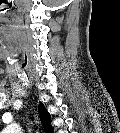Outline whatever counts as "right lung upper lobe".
Returning a JSON list of instances; mask_svg holds the SVG:
<instances>
[{"label": "right lung upper lobe", "mask_w": 120, "mask_h": 133, "mask_svg": "<svg viewBox=\"0 0 120 133\" xmlns=\"http://www.w3.org/2000/svg\"><path fill=\"white\" fill-rule=\"evenodd\" d=\"M39 117H40L42 126L45 129V132L50 133L53 130L52 125H51V116L48 113V111L44 108L43 105L39 109Z\"/></svg>", "instance_id": "cb5924a9"}]
</instances>
